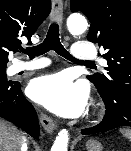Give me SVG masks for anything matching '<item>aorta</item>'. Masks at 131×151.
<instances>
[{"instance_id": "1", "label": "aorta", "mask_w": 131, "mask_h": 151, "mask_svg": "<svg viewBox=\"0 0 131 151\" xmlns=\"http://www.w3.org/2000/svg\"><path fill=\"white\" fill-rule=\"evenodd\" d=\"M87 21L81 14H71L67 19V27L71 34L79 35L87 29ZM69 134L66 129L60 130L51 151H67Z\"/></svg>"}]
</instances>
